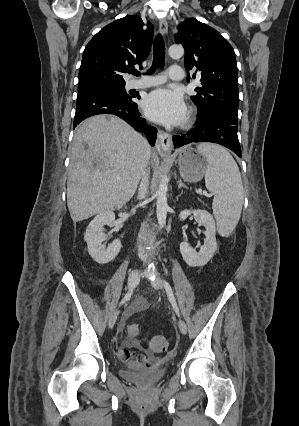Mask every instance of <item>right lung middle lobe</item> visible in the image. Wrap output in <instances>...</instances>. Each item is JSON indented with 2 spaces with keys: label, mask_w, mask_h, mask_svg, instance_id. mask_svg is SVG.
<instances>
[{
  "label": "right lung middle lobe",
  "mask_w": 299,
  "mask_h": 426,
  "mask_svg": "<svg viewBox=\"0 0 299 426\" xmlns=\"http://www.w3.org/2000/svg\"><path fill=\"white\" fill-rule=\"evenodd\" d=\"M84 89L108 91V92L117 94L119 96H122L124 98L130 97L126 93L125 84H100V85H89V86H82V87L79 86L78 92Z\"/></svg>",
  "instance_id": "1"
}]
</instances>
